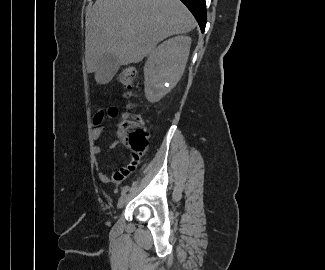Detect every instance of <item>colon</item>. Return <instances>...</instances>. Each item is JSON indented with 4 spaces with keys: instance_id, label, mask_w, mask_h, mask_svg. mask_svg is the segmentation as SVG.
Returning <instances> with one entry per match:
<instances>
[{
    "instance_id": "colon-1",
    "label": "colon",
    "mask_w": 325,
    "mask_h": 270,
    "mask_svg": "<svg viewBox=\"0 0 325 270\" xmlns=\"http://www.w3.org/2000/svg\"><path fill=\"white\" fill-rule=\"evenodd\" d=\"M137 78L135 67L125 68L117 77L118 82L126 88H131ZM120 139L125 142L130 150V161L127 165L129 170H134L144 154L148 144V133L144 127L135 121L132 114H125L119 129Z\"/></svg>"
}]
</instances>
